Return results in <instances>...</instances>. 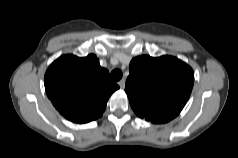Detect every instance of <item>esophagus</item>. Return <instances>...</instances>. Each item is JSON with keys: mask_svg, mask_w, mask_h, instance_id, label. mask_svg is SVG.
<instances>
[{"mask_svg": "<svg viewBox=\"0 0 238 158\" xmlns=\"http://www.w3.org/2000/svg\"><path fill=\"white\" fill-rule=\"evenodd\" d=\"M118 85L121 89H124L125 87V79H121L119 82H118Z\"/></svg>", "mask_w": 238, "mask_h": 158, "instance_id": "esophagus-1", "label": "esophagus"}]
</instances>
